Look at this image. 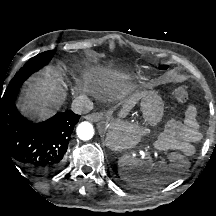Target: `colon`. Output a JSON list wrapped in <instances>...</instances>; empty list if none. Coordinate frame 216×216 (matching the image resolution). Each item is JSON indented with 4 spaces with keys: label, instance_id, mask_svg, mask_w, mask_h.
<instances>
[{
    "label": "colon",
    "instance_id": "1",
    "mask_svg": "<svg viewBox=\"0 0 216 216\" xmlns=\"http://www.w3.org/2000/svg\"><path fill=\"white\" fill-rule=\"evenodd\" d=\"M168 66L166 64L160 65L161 70H166ZM174 97L178 102L184 103L189 99V89L185 85H179L175 87L173 91Z\"/></svg>",
    "mask_w": 216,
    "mask_h": 216
}]
</instances>
